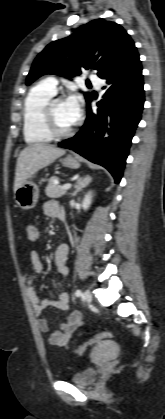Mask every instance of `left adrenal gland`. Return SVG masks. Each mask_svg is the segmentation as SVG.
Wrapping results in <instances>:
<instances>
[{"label": "left adrenal gland", "instance_id": "left-adrenal-gland-1", "mask_svg": "<svg viewBox=\"0 0 165 419\" xmlns=\"http://www.w3.org/2000/svg\"><path fill=\"white\" fill-rule=\"evenodd\" d=\"M91 181H92V178L90 176H86L84 178H78L74 186V191L71 194V196H75L79 191H81L83 188L88 186Z\"/></svg>", "mask_w": 165, "mask_h": 419}]
</instances>
